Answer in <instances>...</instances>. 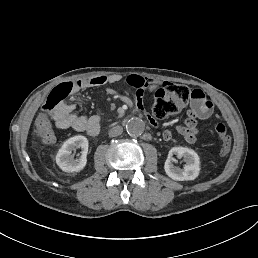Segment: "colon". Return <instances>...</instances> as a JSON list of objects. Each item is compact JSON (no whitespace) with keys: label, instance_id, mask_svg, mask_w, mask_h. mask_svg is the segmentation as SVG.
I'll list each match as a JSON object with an SVG mask.
<instances>
[{"label":"colon","instance_id":"obj_1","mask_svg":"<svg viewBox=\"0 0 258 258\" xmlns=\"http://www.w3.org/2000/svg\"><path fill=\"white\" fill-rule=\"evenodd\" d=\"M76 86L73 82H63L57 85L49 93L43 106V115L45 118L54 114V112L67 104L69 98L75 92ZM191 91L188 87L177 83H164L154 95L152 113L157 119H163L169 115L178 113L191 97ZM215 131L221 141L220 154L227 155L230 152L232 140L227 133L224 124L218 123Z\"/></svg>","mask_w":258,"mask_h":258}]
</instances>
